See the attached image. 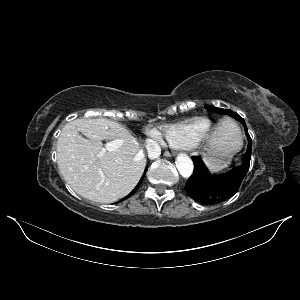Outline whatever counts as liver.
<instances>
[{
    "label": "liver",
    "instance_id": "1",
    "mask_svg": "<svg viewBox=\"0 0 300 300\" xmlns=\"http://www.w3.org/2000/svg\"><path fill=\"white\" fill-rule=\"evenodd\" d=\"M107 139L121 140V146L99 157L102 140ZM232 140L229 130L221 125L209 146H226ZM141 153L136 138L105 118L76 119L64 126L57 141V164L64 180L80 196L99 203L115 202L134 189L146 165Z\"/></svg>",
    "mask_w": 300,
    "mask_h": 300
}]
</instances>
